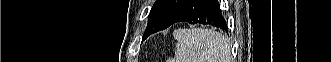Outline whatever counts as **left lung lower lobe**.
Masks as SVG:
<instances>
[{
  "instance_id": "obj_1",
  "label": "left lung lower lobe",
  "mask_w": 331,
  "mask_h": 62,
  "mask_svg": "<svg viewBox=\"0 0 331 62\" xmlns=\"http://www.w3.org/2000/svg\"><path fill=\"white\" fill-rule=\"evenodd\" d=\"M178 22H189L190 24H211L227 29V24L220 11L217 0H185V2L172 14L161 30ZM151 33L145 32L143 39Z\"/></svg>"
}]
</instances>
